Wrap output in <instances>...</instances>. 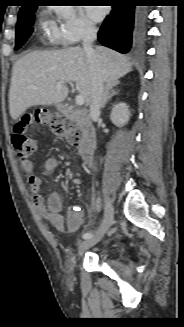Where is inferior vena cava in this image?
Wrapping results in <instances>:
<instances>
[{
    "label": "inferior vena cava",
    "mask_w": 184,
    "mask_h": 327,
    "mask_svg": "<svg viewBox=\"0 0 184 327\" xmlns=\"http://www.w3.org/2000/svg\"><path fill=\"white\" fill-rule=\"evenodd\" d=\"M97 37V29L87 25L83 32V49L89 61L91 73V103L90 116L94 117L100 113V107L104 95L103 78L100 71L99 61L93 49V42Z\"/></svg>",
    "instance_id": "602c4592"
}]
</instances>
